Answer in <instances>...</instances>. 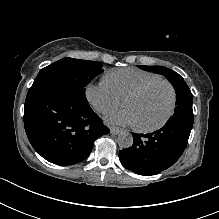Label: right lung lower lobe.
<instances>
[{"label": "right lung lower lobe", "mask_w": 219, "mask_h": 219, "mask_svg": "<svg viewBox=\"0 0 219 219\" xmlns=\"http://www.w3.org/2000/svg\"><path fill=\"white\" fill-rule=\"evenodd\" d=\"M24 127L33 148L47 161L62 166L83 161L94 141L110 132L88 101L46 86L29 89Z\"/></svg>", "instance_id": "right-lung-lower-lobe-1"}]
</instances>
